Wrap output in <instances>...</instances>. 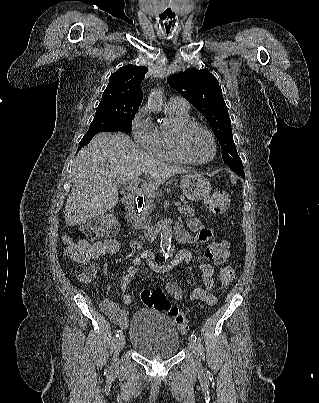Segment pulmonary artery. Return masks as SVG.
<instances>
[{"mask_svg": "<svg viewBox=\"0 0 319 403\" xmlns=\"http://www.w3.org/2000/svg\"><path fill=\"white\" fill-rule=\"evenodd\" d=\"M168 108H174V109H179L183 111H188L189 110V103L182 97L179 96H173L170 98L168 104Z\"/></svg>", "mask_w": 319, "mask_h": 403, "instance_id": "e3ab8cb5", "label": "pulmonary artery"}]
</instances>
